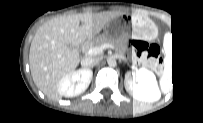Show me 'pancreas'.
Wrapping results in <instances>:
<instances>
[{
	"mask_svg": "<svg viewBox=\"0 0 203 123\" xmlns=\"http://www.w3.org/2000/svg\"><path fill=\"white\" fill-rule=\"evenodd\" d=\"M105 43L112 44L117 48L118 51H121L124 49L125 39L121 37L113 38L106 35H100L94 39L92 46H101Z\"/></svg>",
	"mask_w": 203,
	"mask_h": 123,
	"instance_id": "1",
	"label": "pancreas"
}]
</instances>
